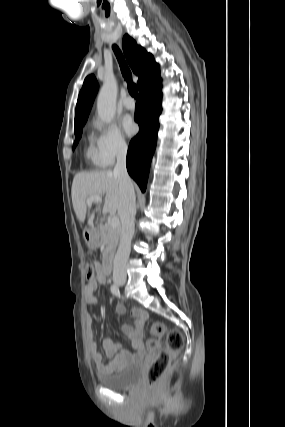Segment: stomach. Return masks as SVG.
<instances>
[{"mask_svg": "<svg viewBox=\"0 0 285 427\" xmlns=\"http://www.w3.org/2000/svg\"><path fill=\"white\" fill-rule=\"evenodd\" d=\"M83 237L91 249H96L101 243L100 234L96 228L85 229Z\"/></svg>", "mask_w": 285, "mask_h": 427, "instance_id": "1", "label": "stomach"}]
</instances>
